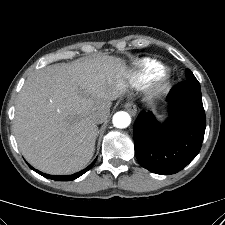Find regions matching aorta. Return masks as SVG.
Wrapping results in <instances>:
<instances>
[{
  "instance_id": "aorta-1",
  "label": "aorta",
  "mask_w": 225,
  "mask_h": 225,
  "mask_svg": "<svg viewBox=\"0 0 225 225\" xmlns=\"http://www.w3.org/2000/svg\"><path fill=\"white\" fill-rule=\"evenodd\" d=\"M112 122L116 128H126L131 123V117L127 112L119 111L114 114Z\"/></svg>"
}]
</instances>
